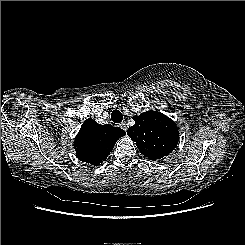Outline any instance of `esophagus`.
<instances>
[{"label":"esophagus","instance_id":"1","mask_svg":"<svg viewBox=\"0 0 245 245\" xmlns=\"http://www.w3.org/2000/svg\"><path fill=\"white\" fill-rule=\"evenodd\" d=\"M119 126L124 130L127 131V127L125 123H120Z\"/></svg>","mask_w":245,"mask_h":245}]
</instances>
